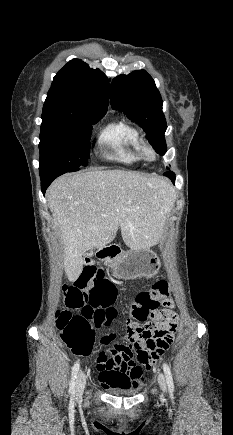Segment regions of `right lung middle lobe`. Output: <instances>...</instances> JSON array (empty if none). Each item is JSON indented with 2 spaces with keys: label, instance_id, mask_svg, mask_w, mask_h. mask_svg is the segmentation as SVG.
Returning a JSON list of instances; mask_svg holds the SVG:
<instances>
[{
  "label": "right lung middle lobe",
  "instance_id": "obj_1",
  "mask_svg": "<svg viewBox=\"0 0 233 435\" xmlns=\"http://www.w3.org/2000/svg\"><path fill=\"white\" fill-rule=\"evenodd\" d=\"M101 116L42 119L40 132V176L78 171L87 166L92 125Z\"/></svg>",
  "mask_w": 233,
  "mask_h": 435
}]
</instances>
